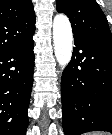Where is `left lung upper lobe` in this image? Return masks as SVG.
I'll return each instance as SVG.
<instances>
[{"label":"left lung upper lobe","instance_id":"left-lung-upper-lobe-1","mask_svg":"<svg viewBox=\"0 0 112 135\" xmlns=\"http://www.w3.org/2000/svg\"><path fill=\"white\" fill-rule=\"evenodd\" d=\"M56 9L68 16L74 35L112 41L106 16L95 0H57Z\"/></svg>","mask_w":112,"mask_h":135}]
</instances>
